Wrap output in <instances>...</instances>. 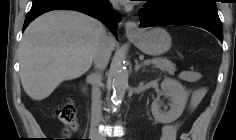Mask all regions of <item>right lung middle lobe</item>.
<instances>
[{
  "label": "right lung middle lobe",
  "mask_w": 236,
  "mask_h": 140,
  "mask_svg": "<svg viewBox=\"0 0 236 140\" xmlns=\"http://www.w3.org/2000/svg\"><path fill=\"white\" fill-rule=\"evenodd\" d=\"M92 1L96 4H101L102 3V0H92Z\"/></svg>",
  "instance_id": "obj_1"
}]
</instances>
